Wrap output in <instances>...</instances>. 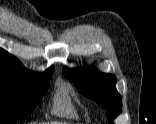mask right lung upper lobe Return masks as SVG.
Here are the masks:
<instances>
[{
  "label": "right lung upper lobe",
  "mask_w": 156,
  "mask_h": 124,
  "mask_svg": "<svg viewBox=\"0 0 156 124\" xmlns=\"http://www.w3.org/2000/svg\"><path fill=\"white\" fill-rule=\"evenodd\" d=\"M54 67L48 68L42 75H38L33 71L26 69L20 61L0 48V75H10L25 78H41L51 75Z\"/></svg>",
  "instance_id": "right-lung-upper-lobe-1"
}]
</instances>
